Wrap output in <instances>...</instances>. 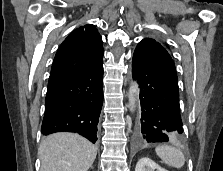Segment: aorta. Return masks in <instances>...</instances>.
Returning a JSON list of instances; mask_svg holds the SVG:
<instances>
[{"label": "aorta", "instance_id": "1", "mask_svg": "<svg viewBox=\"0 0 223 171\" xmlns=\"http://www.w3.org/2000/svg\"><path fill=\"white\" fill-rule=\"evenodd\" d=\"M139 88L137 82H133L129 88L128 99H129V109L134 112L136 109V97L138 95Z\"/></svg>", "mask_w": 223, "mask_h": 171}]
</instances>
